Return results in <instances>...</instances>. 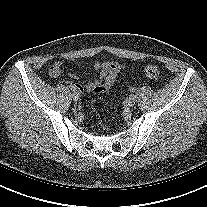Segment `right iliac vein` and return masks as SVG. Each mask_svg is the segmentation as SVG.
Instances as JSON below:
<instances>
[{
    "label": "right iliac vein",
    "mask_w": 207,
    "mask_h": 207,
    "mask_svg": "<svg viewBox=\"0 0 207 207\" xmlns=\"http://www.w3.org/2000/svg\"><path fill=\"white\" fill-rule=\"evenodd\" d=\"M72 98H73L74 101H78L79 98H80L79 93L77 91H74L72 93Z\"/></svg>",
    "instance_id": "1"
}]
</instances>
